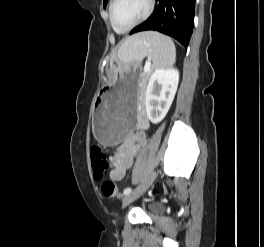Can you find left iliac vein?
Returning <instances> with one entry per match:
<instances>
[{"instance_id":"left-iliac-vein-1","label":"left iliac vein","mask_w":264,"mask_h":247,"mask_svg":"<svg viewBox=\"0 0 264 247\" xmlns=\"http://www.w3.org/2000/svg\"><path fill=\"white\" fill-rule=\"evenodd\" d=\"M154 178L155 172L150 173L139 187H137L134 191L130 192L123 198V205L126 206L140 197L150 187V185L154 181Z\"/></svg>"}]
</instances>
